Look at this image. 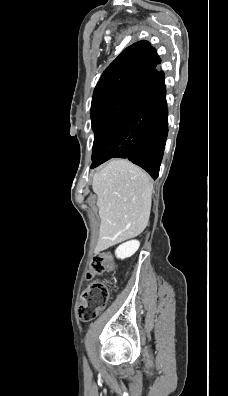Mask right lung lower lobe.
Wrapping results in <instances>:
<instances>
[{
  "label": "right lung lower lobe",
  "mask_w": 228,
  "mask_h": 396,
  "mask_svg": "<svg viewBox=\"0 0 228 396\" xmlns=\"http://www.w3.org/2000/svg\"><path fill=\"white\" fill-rule=\"evenodd\" d=\"M159 62L156 54L144 61L146 75L107 133L92 169L112 158H127L153 179L158 177L168 134L164 73L156 69Z\"/></svg>",
  "instance_id": "98d812e1"
}]
</instances>
